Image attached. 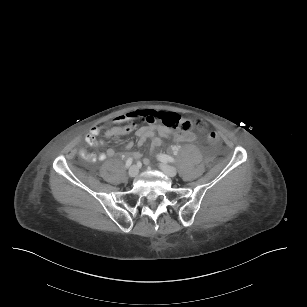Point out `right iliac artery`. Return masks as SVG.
<instances>
[{
    "label": "right iliac artery",
    "instance_id": "82829eb1",
    "mask_svg": "<svg viewBox=\"0 0 307 307\" xmlns=\"http://www.w3.org/2000/svg\"><path fill=\"white\" fill-rule=\"evenodd\" d=\"M132 162H133L132 158L127 159L126 164H125V168L128 169L131 166Z\"/></svg>",
    "mask_w": 307,
    "mask_h": 307
}]
</instances>
